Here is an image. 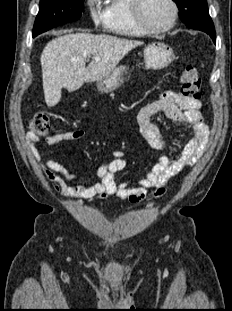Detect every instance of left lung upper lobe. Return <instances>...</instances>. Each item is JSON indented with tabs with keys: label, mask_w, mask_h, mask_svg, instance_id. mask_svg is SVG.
<instances>
[{
	"label": "left lung upper lobe",
	"mask_w": 232,
	"mask_h": 311,
	"mask_svg": "<svg viewBox=\"0 0 232 311\" xmlns=\"http://www.w3.org/2000/svg\"><path fill=\"white\" fill-rule=\"evenodd\" d=\"M180 11V19L190 27L208 14L206 0H173Z\"/></svg>",
	"instance_id": "obj_1"
}]
</instances>
